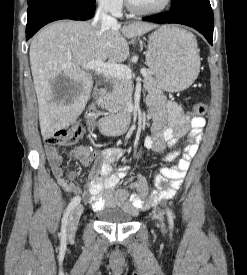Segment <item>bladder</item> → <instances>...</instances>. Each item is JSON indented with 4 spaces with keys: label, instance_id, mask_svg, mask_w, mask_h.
<instances>
[{
    "label": "bladder",
    "instance_id": "bladder-1",
    "mask_svg": "<svg viewBox=\"0 0 247 275\" xmlns=\"http://www.w3.org/2000/svg\"><path fill=\"white\" fill-rule=\"evenodd\" d=\"M96 214L100 222L105 224H129L134 219V214L120 208H101L96 210Z\"/></svg>",
    "mask_w": 247,
    "mask_h": 275
}]
</instances>
